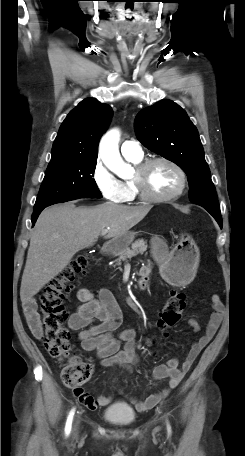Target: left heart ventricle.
<instances>
[{
  "label": "left heart ventricle",
  "instance_id": "left-heart-ventricle-1",
  "mask_svg": "<svg viewBox=\"0 0 245 456\" xmlns=\"http://www.w3.org/2000/svg\"><path fill=\"white\" fill-rule=\"evenodd\" d=\"M179 184L178 173L165 163L153 165L147 173V186L154 195H169L178 189Z\"/></svg>",
  "mask_w": 245,
  "mask_h": 456
}]
</instances>
